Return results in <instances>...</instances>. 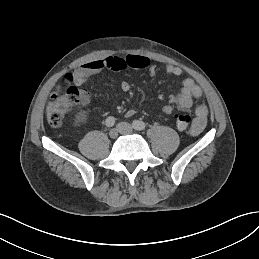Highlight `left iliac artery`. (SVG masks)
Wrapping results in <instances>:
<instances>
[{
  "mask_svg": "<svg viewBox=\"0 0 259 259\" xmlns=\"http://www.w3.org/2000/svg\"><path fill=\"white\" fill-rule=\"evenodd\" d=\"M132 126L135 130L141 131L146 128V124L140 120H134Z\"/></svg>",
  "mask_w": 259,
  "mask_h": 259,
  "instance_id": "44dca946",
  "label": "left iliac artery"
}]
</instances>
